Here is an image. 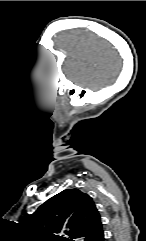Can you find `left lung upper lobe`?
<instances>
[{
    "instance_id": "obj_1",
    "label": "left lung upper lobe",
    "mask_w": 146,
    "mask_h": 241,
    "mask_svg": "<svg viewBox=\"0 0 146 241\" xmlns=\"http://www.w3.org/2000/svg\"><path fill=\"white\" fill-rule=\"evenodd\" d=\"M100 220L92 198L74 188L48 199L22 224L36 241H74Z\"/></svg>"
}]
</instances>
